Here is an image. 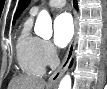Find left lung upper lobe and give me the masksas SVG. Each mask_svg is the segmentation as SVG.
<instances>
[{
	"label": "left lung upper lobe",
	"mask_w": 107,
	"mask_h": 89,
	"mask_svg": "<svg viewBox=\"0 0 107 89\" xmlns=\"http://www.w3.org/2000/svg\"><path fill=\"white\" fill-rule=\"evenodd\" d=\"M30 0H20L18 4V8L16 11V15L14 17L13 23H15L16 18L19 17V15L22 13V11L27 7L29 4Z\"/></svg>",
	"instance_id": "obj_1"
}]
</instances>
